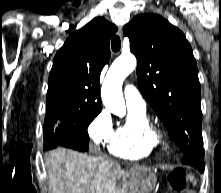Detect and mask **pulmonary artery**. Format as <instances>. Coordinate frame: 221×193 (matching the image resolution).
Returning <instances> with one entry per match:
<instances>
[{"instance_id":"1","label":"pulmonary artery","mask_w":221,"mask_h":193,"mask_svg":"<svg viewBox=\"0 0 221 193\" xmlns=\"http://www.w3.org/2000/svg\"><path fill=\"white\" fill-rule=\"evenodd\" d=\"M124 98L129 109L139 112L146 110V103L140 92L134 86L127 85L125 87Z\"/></svg>"}]
</instances>
